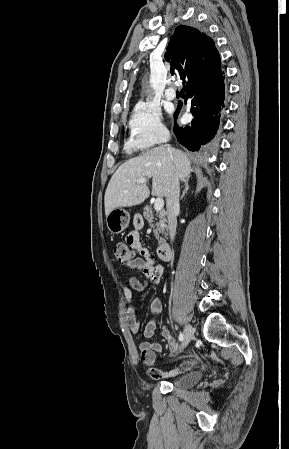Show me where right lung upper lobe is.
I'll list each match as a JSON object with an SVG mask.
<instances>
[{
    "instance_id": "right-lung-upper-lobe-1",
    "label": "right lung upper lobe",
    "mask_w": 289,
    "mask_h": 449,
    "mask_svg": "<svg viewBox=\"0 0 289 449\" xmlns=\"http://www.w3.org/2000/svg\"><path fill=\"white\" fill-rule=\"evenodd\" d=\"M171 73H177L183 85L206 76L221 64L214 41L198 29L178 26L165 53Z\"/></svg>"
}]
</instances>
